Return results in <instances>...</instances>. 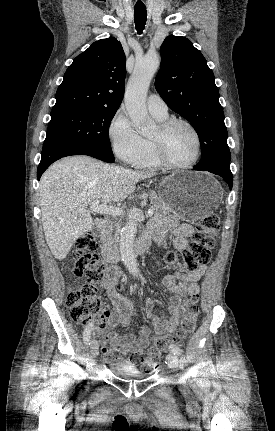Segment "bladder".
Segmentation results:
<instances>
[{"mask_svg":"<svg viewBox=\"0 0 275 431\" xmlns=\"http://www.w3.org/2000/svg\"><path fill=\"white\" fill-rule=\"evenodd\" d=\"M111 368L116 374H119V375H129V376H134L138 378L145 377L148 375V373L135 370L134 368L128 365H124L120 363L112 364Z\"/></svg>","mask_w":275,"mask_h":431,"instance_id":"31cf9c89","label":"bladder"}]
</instances>
